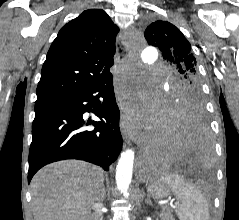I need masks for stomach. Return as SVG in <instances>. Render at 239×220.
<instances>
[{"instance_id":"stomach-1","label":"stomach","mask_w":239,"mask_h":220,"mask_svg":"<svg viewBox=\"0 0 239 220\" xmlns=\"http://www.w3.org/2000/svg\"><path fill=\"white\" fill-rule=\"evenodd\" d=\"M171 188L166 183H159L154 181V183H149L148 192L151 196L156 198H164L170 194Z\"/></svg>"}]
</instances>
